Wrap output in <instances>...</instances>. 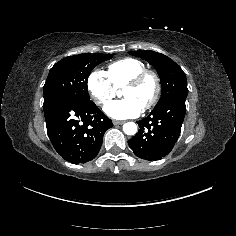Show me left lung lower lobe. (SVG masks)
<instances>
[{"instance_id": "obj_1", "label": "left lung lower lobe", "mask_w": 236, "mask_h": 236, "mask_svg": "<svg viewBox=\"0 0 236 236\" xmlns=\"http://www.w3.org/2000/svg\"><path fill=\"white\" fill-rule=\"evenodd\" d=\"M186 96H176L155 107L138 121V133L128 141L134 154L148 161L160 160L177 142L186 113Z\"/></svg>"}]
</instances>
